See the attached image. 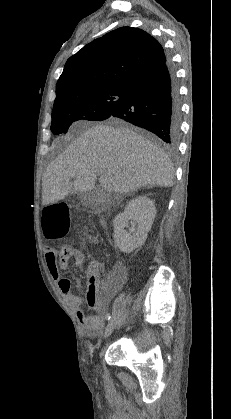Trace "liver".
I'll list each match as a JSON object with an SVG mask.
<instances>
[{
	"label": "liver",
	"mask_w": 231,
	"mask_h": 419,
	"mask_svg": "<svg viewBox=\"0 0 231 419\" xmlns=\"http://www.w3.org/2000/svg\"><path fill=\"white\" fill-rule=\"evenodd\" d=\"M97 175L102 188L115 193L169 187L174 178L172 164L157 144L127 127L98 124L71 142L47 167L42 204L55 203L72 190L90 192Z\"/></svg>",
	"instance_id": "liver-1"
}]
</instances>
